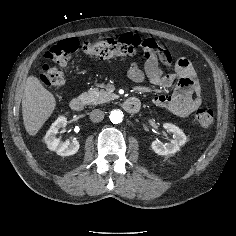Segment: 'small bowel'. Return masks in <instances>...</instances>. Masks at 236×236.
I'll use <instances>...</instances> for the list:
<instances>
[{"label":"small bowel","instance_id":"obj_1","mask_svg":"<svg viewBox=\"0 0 236 236\" xmlns=\"http://www.w3.org/2000/svg\"><path fill=\"white\" fill-rule=\"evenodd\" d=\"M121 41L156 52L155 55L146 59L144 70L136 63L131 64L128 76L133 82L141 83L148 79L152 84L161 87L176 84L172 95L161 94L154 97L153 103L156 106L165 108L180 117L189 116L200 107L201 89L188 59L180 57L174 61L171 54L160 48L154 40L141 38L131 33L123 35ZM159 62L171 68L172 72L164 73L159 67Z\"/></svg>","mask_w":236,"mask_h":236}]
</instances>
